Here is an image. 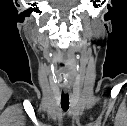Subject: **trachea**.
<instances>
[{
    "label": "trachea",
    "instance_id": "obj_1",
    "mask_svg": "<svg viewBox=\"0 0 127 126\" xmlns=\"http://www.w3.org/2000/svg\"><path fill=\"white\" fill-rule=\"evenodd\" d=\"M61 107L65 112L69 109V95L63 91L61 95Z\"/></svg>",
    "mask_w": 127,
    "mask_h": 126
}]
</instances>
